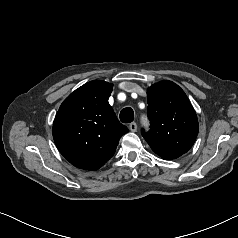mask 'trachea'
Wrapping results in <instances>:
<instances>
[{"label": "trachea", "instance_id": "obj_1", "mask_svg": "<svg viewBox=\"0 0 238 238\" xmlns=\"http://www.w3.org/2000/svg\"><path fill=\"white\" fill-rule=\"evenodd\" d=\"M134 120V111L130 107L124 108L120 112V121L123 123H130Z\"/></svg>", "mask_w": 238, "mask_h": 238}]
</instances>
